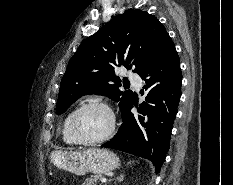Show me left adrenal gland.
I'll return each instance as SVG.
<instances>
[{"label": "left adrenal gland", "instance_id": "obj_1", "mask_svg": "<svg viewBox=\"0 0 233 185\" xmlns=\"http://www.w3.org/2000/svg\"><path fill=\"white\" fill-rule=\"evenodd\" d=\"M118 181H122L123 180V175H120L119 177H117Z\"/></svg>", "mask_w": 233, "mask_h": 185}]
</instances>
